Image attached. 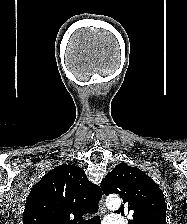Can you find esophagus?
<instances>
[{"mask_svg": "<svg viewBox=\"0 0 187 224\" xmlns=\"http://www.w3.org/2000/svg\"><path fill=\"white\" fill-rule=\"evenodd\" d=\"M99 209H100V213L101 214H105L106 213V206H105V202H104V195H102L100 202H99Z\"/></svg>", "mask_w": 187, "mask_h": 224, "instance_id": "34e87169", "label": "esophagus"}]
</instances>
